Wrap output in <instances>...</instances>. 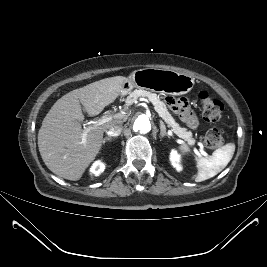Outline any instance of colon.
<instances>
[{"mask_svg":"<svg viewBox=\"0 0 267 267\" xmlns=\"http://www.w3.org/2000/svg\"><path fill=\"white\" fill-rule=\"evenodd\" d=\"M198 97L202 104V115L208 122H217L222 115L223 104L210 97L206 91H201ZM204 142L209 149H217L223 144L222 132L218 128L211 129L205 135Z\"/></svg>","mask_w":267,"mask_h":267,"instance_id":"1","label":"colon"}]
</instances>
